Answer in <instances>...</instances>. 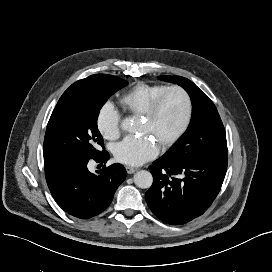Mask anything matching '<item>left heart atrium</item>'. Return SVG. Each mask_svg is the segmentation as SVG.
<instances>
[{"label":"left heart atrium","mask_w":272,"mask_h":272,"mask_svg":"<svg viewBox=\"0 0 272 272\" xmlns=\"http://www.w3.org/2000/svg\"><path fill=\"white\" fill-rule=\"evenodd\" d=\"M115 159L130 166H140L158 154V147L148 138L127 137L114 146Z\"/></svg>","instance_id":"left-heart-atrium-1"}]
</instances>
